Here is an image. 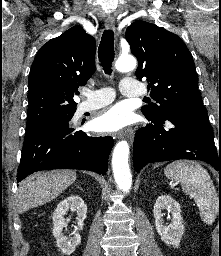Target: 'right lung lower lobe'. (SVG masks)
Masks as SVG:
<instances>
[{
  "label": "right lung lower lobe",
  "instance_id": "obj_1",
  "mask_svg": "<svg viewBox=\"0 0 221 256\" xmlns=\"http://www.w3.org/2000/svg\"><path fill=\"white\" fill-rule=\"evenodd\" d=\"M70 120L51 121L25 133L18 181L36 171L60 168L105 175L113 138L89 137L69 126Z\"/></svg>",
  "mask_w": 221,
  "mask_h": 256
}]
</instances>
